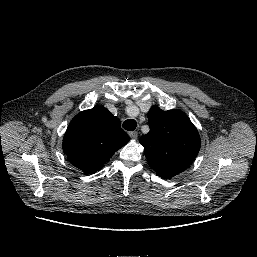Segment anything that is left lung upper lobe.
Here are the masks:
<instances>
[{
  "instance_id": "left-lung-upper-lobe-1",
  "label": "left lung upper lobe",
  "mask_w": 257,
  "mask_h": 257,
  "mask_svg": "<svg viewBox=\"0 0 257 257\" xmlns=\"http://www.w3.org/2000/svg\"><path fill=\"white\" fill-rule=\"evenodd\" d=\"M150 131L140 138L150 166L162 178L186 170L200 149L195 126L181 110L163 111L158 106L148 112Z\"/></svg>"
}]
</instances>
